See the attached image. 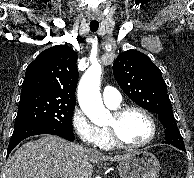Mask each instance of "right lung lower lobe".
Wrapping results in <instances>:
<instances>
[{"label": "right lung lower lobe", "instance_id": "obj_1", "mask_svg": "<svg viewBox=\"0 0 194 178\" xmlns=\"http://www.w3.org/2000/svg\"><path fill=\"white\" fill-rule=\"evenodd\" d=\"M38 134H52L60 136L64 139H67L69 141L74 140V134L73 131H62L57 130L53 127L45 126V125H23L19 127H15L13 134L10 139V143L8 145L7 154L13 150V148L18 145L23 139L32 136V135H38Z\"/></svg>", "mask_w": 194, "mask_h": 178}]
</instances>
